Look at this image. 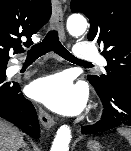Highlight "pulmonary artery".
Masks as SVG:
<instances>
[{"label":"pulmonary artery","mask_w":131,"mask_h":151,"mask_svg":"<svg viewBox=\"0 0 131 151\" xmlns=\"http://www.w3.org/2000/svg\"><path fill=\"white\" fill-rule=\"evenodd\" d=\"M74 55L76 58L85 62H95L101 67L106 65V61L96 51V48L90 42H80L75 46ZM21 66L17 65L14 70L17 71Z\"/></svg>","instance_id":"e3ab8cb5"}]
</instances>
